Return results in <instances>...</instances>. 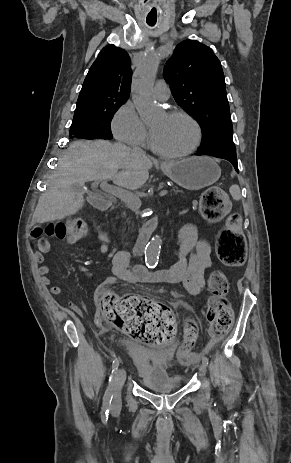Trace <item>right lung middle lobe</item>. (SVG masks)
I'll list each match as a JSON object with an SVG mask.
<instances>
[{"label": "right lung middle lobe", "mask_w": 291, "mask_h": 463, "mask_svg": "<svg viewBox=\"0 0 291 463\" xmlns=\"http://www.w3.org/2000/svg\"><path fill=\"white\" fill-rule=\"evenodd\" d=\"M123 103L108 101L96 110L74 116L70 128L71 139H111V120Z\"/></svg>", "instance_id": "1"}]
</instances>
